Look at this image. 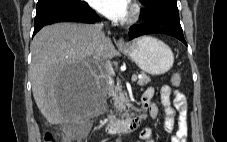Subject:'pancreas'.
Returning <instances> with one entry per match:
<instances>
[{
  "label": "pancreas",
  "mask_w": 227,
  "mask_h": 142,
  "mask_svg": "<svg viewBox=\"0 0 227 142\" xmlns=\"http://www.w3.org/2000/svg\"><path fill=\"white\" fill-rule=\"evenodd\" d=\"M150 82L149 76L145 73L141 74V78L138 79V85L145 86ZM114 100V107L116 112H127L126 107L129 106L127 94L122 91L121 85H117L115 91L112 94Z\"/></svg>",
  "instance_id": "1"
}]
</instances>
